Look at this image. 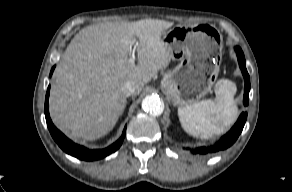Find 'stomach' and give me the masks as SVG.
Here are the masks:
<instances>
[{
  "instance_id": "1",
  "label": "stomach",
  "mask_w": 292,
  "mask_h": 192,
  "mask_svg": "<svg viewBox=\"0 0 292 192\" xmlns=\"http://www.w3.org/2000/svg\"><path fill=\"white\" fill-rule=\"evenodd\" d=\"M173 60L179 64L167 72L161 88L173 105L197 103L211 92L222 57V37L212 25L176 26L163 33Z\"/></svg>"
}]
</instances>
